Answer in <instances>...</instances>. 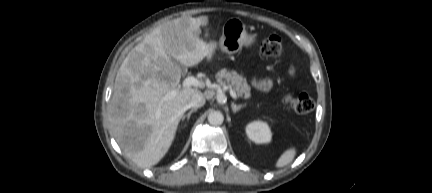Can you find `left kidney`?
Here are the masks:
<instances>
[{
    "label": "left kidney",
    "mask_w": 432,
    "mask_h": 193,
    "mask_svg": "<svg viewBox=\"0 0 432 193\" xmlns=\"http://www.w3.org/2000/svg\"><path fill=\"white\" fill-rule=\"evenodd\" d=\"M248 138L258 144L268 143L271 141L272 133L266 122L253 121L246 126Z\"/></svg>",
    "instance_id": "obj_1"
}]
</instances>
